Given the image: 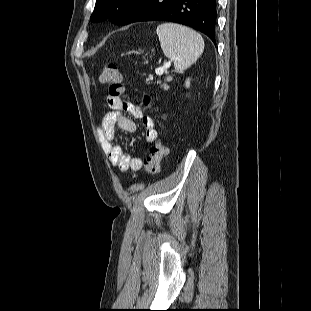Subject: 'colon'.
Segmentation results:
<instances>
[{
	"label": "colon",
	"mask_w": 311,
	"mask_h": 311,
	"mask_svg": "<svg viewBox=\"0 0 311 311\" xmlns=\"http://www.w3.org/2000/svg\"><path fill=\"white\" fill-rule=\"evenodd\" d=\"M100 82L106 86L109 96L122 97L125 94L123 77L119 67L114 63L105 65L100 74ZM153 106L151 96L144 95L141 107L148 109ZM168 149L163 141H157L151 146L149 155L145 159V173L154 175L160 171L161 162L166 157Z\"/></svg>",
	"instance_id": "colon-1"
}]
</instances>
